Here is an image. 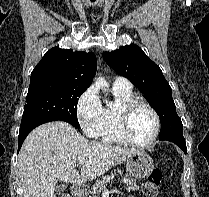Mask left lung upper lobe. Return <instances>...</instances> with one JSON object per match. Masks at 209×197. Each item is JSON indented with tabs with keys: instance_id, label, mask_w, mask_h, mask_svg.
Wrapping results in <instances>:
<instances>
[{
	"instance_id": "obj_1",
	"label": "left lung upper lobe",
	"mask_w": 209,
	"mask_h": 197,
	"mask_svg": "<svg viewBox=\"0 0 209 197\" xmlns=\"http://www.w3.org/2000/svg\"><path fill=\"white\" fill-rule=\"evenodd\" d=\"M103 58L115 72L128 78L146 96L160 117V137L183 132L169 83L159 66L139 46H122L118 50L103 53Z\"/></svg>"
}]
</instances>
